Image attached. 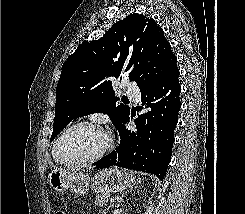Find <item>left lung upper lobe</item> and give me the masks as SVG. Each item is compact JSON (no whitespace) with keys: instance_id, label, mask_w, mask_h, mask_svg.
Here are the masks:
<instances>
[{"instance_id":"1","label":"left lung upper lobe","mask_w":245,"mask_h":214,"mask_svg":"<svg viewBox=\"0 0 245 214\" xmlns=\"http://www.w3.org/2000/svg\"><path fill=\"white\" fill-rule=\"evenodd\" d=\"M176 59L162 28L137 13L116 22L102 38L83 42L62 65L50 141L73 119L96 112L108 114L120 131L130 108L117 104L112 80L126 74L142 91Z\"/></svg>"}]
</instances>
